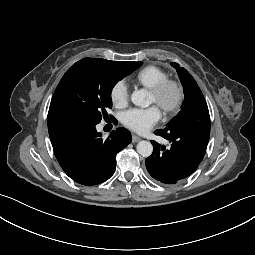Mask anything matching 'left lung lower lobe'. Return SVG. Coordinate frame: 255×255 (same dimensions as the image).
I'll return each mask as SVG.
<instances>
[{
    "mask_svg": "<svg viewBox=\"0 0 255 255\" xmlns=\"http://www.w3.org/2000/svg\"><path fill=\"white\" fill-rule=\"evenodd\" d=\"M170 141V148L152 141L154 150L146 161L149 174L164 184H175L196 171L210 136V116L204 99L189 103L167 124L155 131Z\"/></svg>",
    "mask_w": 255,
    "mask_h": 255,
    "instance_id": "left-lung-lower-lobe-1",
    "label": "left lung lower lobe"
}]
</instances>
